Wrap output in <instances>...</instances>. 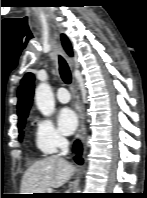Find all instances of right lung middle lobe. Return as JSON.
<instances>
[{
    "mask_svg": "<svg viewBox=\"0 0 147 198\" xmlns=\"http://www.w3.org/2000/svg\"><path fill=\"white\" fill-rule=\"evenodd\" d=\"M25 120L26 119H23L21 121L18 122V129H19V140L21 141L22 138H23V132H22V129L24 128L25 126Z\"/></svg>",
    "mask_w": 147,
    "mask_h": 198,
    "instance_id": "right-lung-middle-lobe-1",
    "label": "right lung middle lobe"
}]
</instances>
